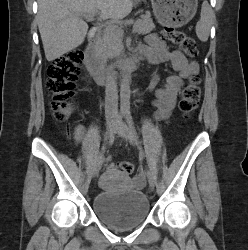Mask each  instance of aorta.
Listing matches in <instances>:
<instances>
[{"instance_id":"1","label":"aorta","mask_w":248,"mask_h":250,"mask_svg":"<svg viewBox=\"0 0 248 250\" xmlns=\"http://www.w3.org/2000/svg\"><path fill=\"white\" fill-rule=\"evenodd\" d=\"M120 110H121V113L130 112V74L127 71V69L124 70V73L121 78Z\"/></svg>"}]
</instances>
